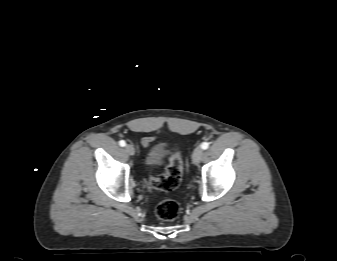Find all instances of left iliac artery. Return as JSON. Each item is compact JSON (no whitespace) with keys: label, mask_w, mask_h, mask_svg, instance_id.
Listing matches in <instances>:
<instances>
[{"label":"left iliac artery","mask_w":337,"mask_h":261,"mask_svg":"<svg viewBox=\"0 0 337 261\" xmlns=\"http://www.w3.org/2000/svg\"><path fill=\"white\" fill-rule=\"evenodd\" d=\"M208 147H209V143L208 142H203L201 144V148L204 149V150L208 149Z\"/></svg>","instance_id":"44dca946"}]
</instances>
